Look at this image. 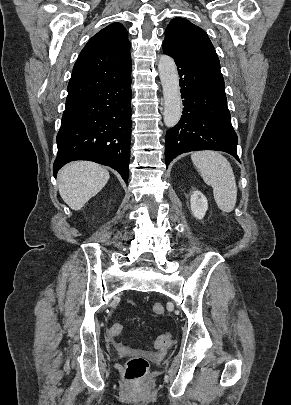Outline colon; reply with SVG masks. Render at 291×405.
<instances>
[{"label": "colon", "instance_id": "obj_1", "mask_svg": "<svg viewBox=\"0 0 291 405\" xmlns=\"http://www.w3.org/2000/svg\"><path fill=\"white\" fill-rule=\"evenodd\" d=\"M155 314L162 315L164 313V307L157 303L153 306ZM124 327L119 324H113L109 329L110 337H119L123 334ZM172 342V336L170 333H164L160 335L155 341L156 348H165ZM149 372V363L143 357H133L127 361L124 367L123 377L124 380L131 384H139L142 382Z\"/></svg>", "mask_w": 291, "mask_h": 405}]
</instances>
